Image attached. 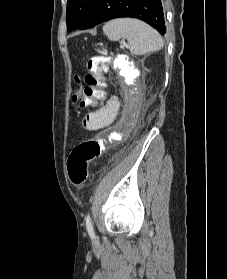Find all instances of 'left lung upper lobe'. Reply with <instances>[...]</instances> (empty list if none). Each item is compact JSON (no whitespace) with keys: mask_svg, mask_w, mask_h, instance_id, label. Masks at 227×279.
I'll list each match as a JSON object with an SVG mask.
<instances>
[{"mask_svg":"<svg viewBox=\"0 0 227 279\" xmlns=\"http://www.w3.org/2000/svg\"><path fill=\"white\" fill-rule=\"evenodd\" d=\"M94 0H67V29H79L83 24Z\"/></svg>","mask_w":227,"mask_h":279,"instance_id":"5c2ea615","label":"left lung upper lobe"}]
</instances>
